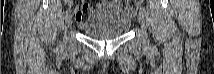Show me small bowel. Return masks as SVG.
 Here are the masks:
<instances>
[{"label": "small bowel", "mask_w": 214, "mask_h": 74, "mask_svg": "<svg viewBox=\"0 0 214 74\" xmlns=\"http://www.w3.org/2000/svg\"><path fill=\"white\" fill-rule=\"evenodd\" d=\"M118 6H123L120 1H101L98 3L96 8L91 7L88 3H82L79 6H77L74 10L75 20L79 28H82L85 19V12L93 13L97 10ZM123 7L130 13L131 16L134 15L135 11L132 7H130L129 5H124Z\"/></svg>", "instance_id": "c3829d8e"}]
</instances>
